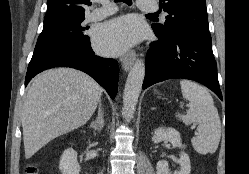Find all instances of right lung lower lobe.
<instances>
[{"label":"right lung lower lobe","mask_w":249,"mask_h":174,"mask_svg":"<svg viewBox=\"0 0 249 174\" xmlns=\"http://www.w3.org/2000/svg\"><path fill=\"white\" fill-rule=\"evenodd\" d=\"M53 67H71L94 78L112 99L117 94L119 68L116 60L96 56L90 42L55 45L34 50L28 65L25 86L38 73Z\"/></svg>","instance_id":"right-lung-lower-lobe-1"}]
</instances>
